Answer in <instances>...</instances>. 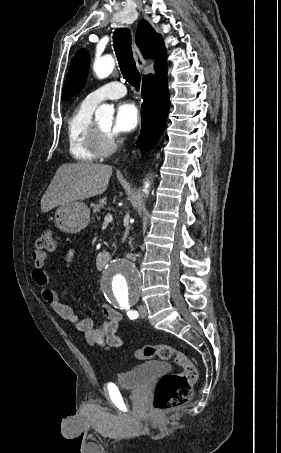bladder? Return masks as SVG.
I'll return each mask as SVG.
<instances>
[{"mask_svg":"<svg viewBox=\"0 0 281 453\" xmlns=\"http://www.w3.org/2000/svg\"><path fill=\"white\" fill-rule=\"evenodd\" d=\"M169 370V364L153 361L119 373L116 382L123 388L140 389L148 385L156 377L168 373Z\"/></svg>","mask_w":281,"mask_h":453,"instance_id":"31cf9c89","label":"bladder"}]
</instances>
